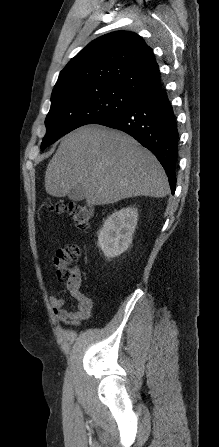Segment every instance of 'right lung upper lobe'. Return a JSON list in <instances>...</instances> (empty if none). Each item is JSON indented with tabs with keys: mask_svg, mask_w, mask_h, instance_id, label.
<instances>
[{
	"mask_svg": "<svg viewBox=\"0 0 219 447\" xmlns=\"http://www.w3.org/2000/svg\"><path fill=\"white\" fill-rule=\"evenodd\" d=\"M78 85H110L138 99L161 88L153 50L129 31L112 32L88 44L60 72L53 92Z\"/></svg>",
	"mask_w": 219,
	"mask_h": 447,
	"instance_id": "1",
	"label": "right lung upper lobe"
}]
</instances>
